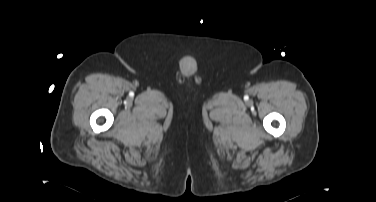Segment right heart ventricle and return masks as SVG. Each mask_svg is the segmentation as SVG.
I'll return each mask as SVG.
<instances>
[{"instance_id":"obj_1","label":"right heart ventricle","mask_w":376,"mask_h":202,"mask_svg":"<svg viewBox=\"0 0 376 202\" xmlns=\"http://www.w3.org/2000/svg\"><path fill=\"white\" fill-rule=\"evenodd\" d=\"M53 89H54V87H51V88H50V91H52Z\"/></svg>"}]
</instances>
